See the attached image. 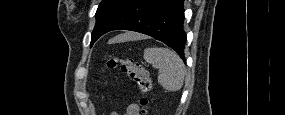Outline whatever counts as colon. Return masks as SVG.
Wrapping results in <instances>:
<instances>
[{"instance_id": "obj_1", "label": "colon", "mask_w": 285, "mask_h": 115, "mask_svg": "<svg viewBox=\"0 0 285 115\" xmlns=\"http://www.w3.org/2000/svg\"><path fill=\"white\" fill-rule=\"evenodd\" d=\"M106 67L113 69L120 67L121 70L126 73L139 87L142 98V106H146L148 103L147 95L152 88V81L149 75V72L138 62H135L131 59H124L115 56H110L107 59ZM142 114H147L145 109L142 110Z\"/></svg>"}]
</instances>
